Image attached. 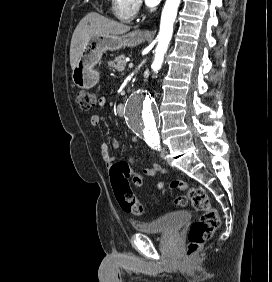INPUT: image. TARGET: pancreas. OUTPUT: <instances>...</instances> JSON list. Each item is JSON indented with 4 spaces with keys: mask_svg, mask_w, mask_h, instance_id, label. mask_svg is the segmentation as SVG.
I'll return each instance as SVG.
<instances>
[{
    "mask_svg": "<svg viewBox=\"0 0 272 282\" xmlns=\"http://www.w3.org/2000/svg\"><path fill=\"white\" fill-rule=\"evenodd\" d=\"M125 55H119L114 60L108 62V66L113 71L121 72L126 67Z\"/></svg>",
    "mask_w": 272,
    "mask_h": 282,
    "instance_id": "pancreas-1",
    "label": "pancreas"
}]
</instances>
